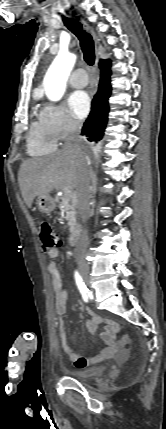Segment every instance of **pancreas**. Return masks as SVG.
Here are the masks:
<instances>
[{"mask_svg": "<svg viewBox=\"0 0 166 429\" xmlns=\"http://www.w3.org/2000/svg\"><path fill=\"white\" fill-rule=\"evenodd\" d=\"M70 201L71 199H66L63 197L61 212L65 213V219L68 221L70 232H73L77 227L76 210L70 206Z\"/></svg>", "mask_w": 166, "mask_h": 429, "instance_id": "obj_1", "label": "pancreas"}]
</instances>
